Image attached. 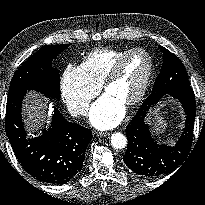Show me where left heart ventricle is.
<instances>
[{
  "instance_id": "b2bd125f",
  "label": "left heart ventricle",
  "mask_w": 205,
  "mask_h": 205,
  "mask_svg": "<svg viewBox=\"0 0 205 205\" xmlns=\"http://www.w3.org/2000/svg\"><path fill=\"white\" fill-rule=\"evenodd\" d=\"M148 66L149 60L145 54H134L124 63L120 76L109 85L106 93L125 104L139 91Z\"/></svg>"
}]
</instances>
